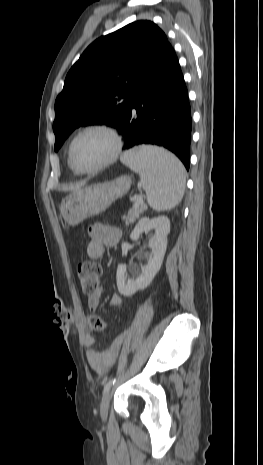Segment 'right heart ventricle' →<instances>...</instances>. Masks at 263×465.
I'll return each mask as SVG.
<instances>
[{
	"mask_svg": "<svg viewBox=\"0 0 263 465\" xmlns=\"http://www.w3.org/2000/svg\"><path fill=\"white\" fill-rule=\"evenodd\" d=\"M68 166H69L70 170L72 171V173H73L74 175H78V174H79L78 172H76V171L72 168V166L70 165L69 160H68Z\"/></svg>",
	"mask_w": 263,
	"mask_h": 465,
	"instance_id": "e07e8e85",
	"label": "right heart ventricle"
}]
</instances>
